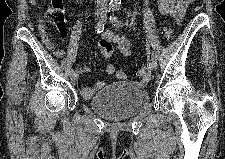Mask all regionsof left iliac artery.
Listing matches in <instances>:
<instances>
[{"label": "left iliac artery", "instance_id": "left-iliac-artery-1", "mask_svg": "<svg viewBox=\"0 0 225 159\" xmlns=\"http://www.w3.org/2000/svg\"><path fill=\"white\" fill-rule=\"evenodd\" d=\"M118 12H119V7H114L112 12H111V15H110V21L116 27H119V26L123 25V23L121 22V20H119V18L117 16ZM152 57L156 58L154 53H152Z\"/></svg>", "mask_w": 225, "mask_h": 159}]
</instances>
